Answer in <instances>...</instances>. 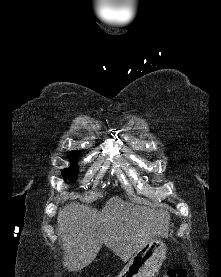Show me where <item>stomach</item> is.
I'll list each match as a JSON object with an SVG mask.
<instances>
[{"label": "stomach", "instance_id": "0dacf381", "mask_svg": "<svg viewBox=\"0 0 221 277\" xmlns=\"http://www.w3.org/2000/svg\"><path fill=\"white\" fill-rule=\"evenodd\" d=\"M167 245L154 237L135 252L118 277H153L166 258Z\"/></svg>", "mask_w": 221, "mask_h": 277}]
</instances>
